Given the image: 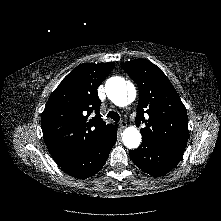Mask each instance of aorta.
<instances>
[{"label": "aorta", "instance_id": "762f6f07", "mask_svg": "<svg viewBox=\"0 0 221 221\" xmlns=\"http://www.w3.org/2000/svg\"><path fill=\"white\" fill-rule=\"evenodd\" d=\"M105 91L109 100L119 107L127 106L128 95L136 93L134 85L121 77L109 78L105 84ZM122 140L127 148L135 149L140 145L141 134L136 127L130 126L123 131Z\"/></svg>", "mask_w": 221, "mask_h": 221}]
</instances>
